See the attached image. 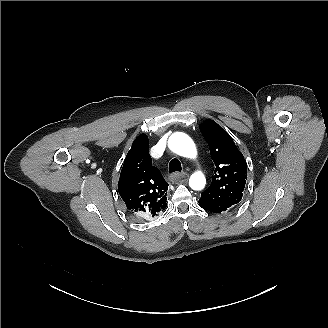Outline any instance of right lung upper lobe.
<instances>
[{
  "label": "right lung upper lobe",
  "mask_w": 328,
  "mask_h": 328,
  "mask_svg": "<svg viewBox=\"0 0 328 328\" xmlns=\"http://www.w3.org/2000/svg\"><path fill=\"white\" fill-rule=\"evenodd\" d=\"M168 183L152 166L148 137L139 135L133 142L121 170L118 190L131 215L151 219L166 207Z\"/></svg>",
  "instance_id": "1"
}]
</instances>
